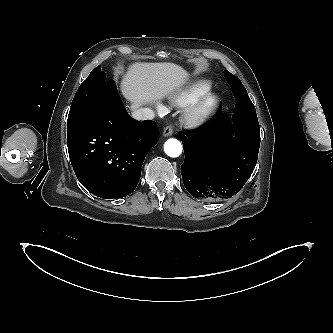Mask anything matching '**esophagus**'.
I'll use <instances>...</instances> for the list:
<instances>
[{"label":"esophagus","mask_w":333,"mask_h":333,"mask_svg":"<svg viewBox=\"0 0 333 333\" xmlns=\"http://www.w3.org/2000/svg\"><path fill=\"white\" fill-rule=\"evenodd\" d=\"M172 134H173V127L172 126H167L166 128H164L163 136L167 137V136H171Z\"/></svg>","instance_id":"1"}]
</instances>
